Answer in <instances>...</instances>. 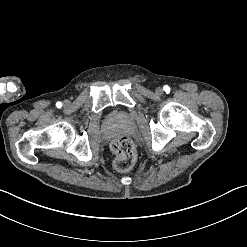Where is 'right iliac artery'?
I'll use <instances>...</instances> for the list:
<instances>
[{"label":"right iliac artery","instance_id":"1","mask_svg":"<svg viewBox=\"0 0 247 247\" xmlns=\"http://www.w3.org/2000/svg\"><path fill=\"white\" fill-rule=\"evenodd\" d=\"M56 106H57V108H61L62 107V103L61 102H57Z\"/></svg>","mask_w":247,"mask_h":247}]
</instances>
